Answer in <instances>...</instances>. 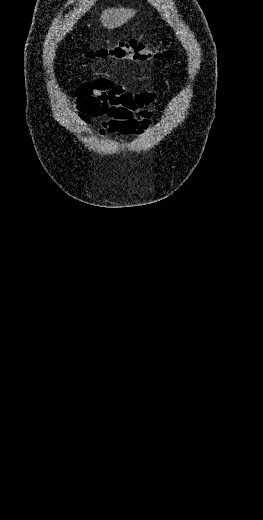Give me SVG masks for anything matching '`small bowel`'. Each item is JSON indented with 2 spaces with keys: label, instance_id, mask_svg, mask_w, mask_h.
Segmentation results:
<instances>
[{
  "label": "small bowel",
  "instance_id": "1",
  "mask_svg": "<svg viewBox=\"0 0 263 520\" xmlns=\"http://www.w3.org/2000/svg\"><path fill=\"white\" fill-rule=\"evenodd\" d=\"M80 118H102L100 134L140 135L151 126L149 106L155 101L152 91L131 93L111 79L86 81L75 90Z\"/></svg>",
  "mask_w": 263,
  "mask_h": 520
}]
</instances>
